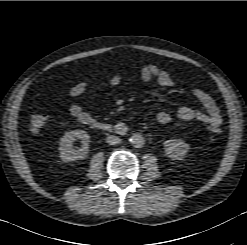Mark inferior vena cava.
<instances>
[{"label": "inferior vena cava", "instance_id": "1", "mask_svg": "<svg viewBox=\"0 0 247 245\" xmlns=\"http://www.w3.org/2000/svg\"><path fill=\"white\" fill-rule=\"evenodd\" d=\"M106 140H107V143L110 145H116L121 142L120 137L116 135H109Z\"/></svg>", "mask_w": 247, "mask_h": 245}]
</instances>
